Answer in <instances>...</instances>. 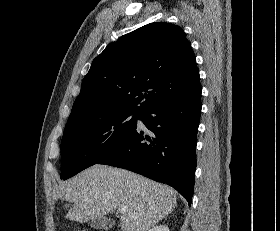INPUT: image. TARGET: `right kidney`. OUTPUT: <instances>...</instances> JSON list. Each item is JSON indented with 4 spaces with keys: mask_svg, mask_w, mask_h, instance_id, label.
I'll return each instance as SVG.
<instances>
[{
    "mask_svg": "<svg viewBox=\"0 0 280 231\" xmlns=\"http://www.w3.org/2000/svg\"><path fill=\"white\" fill-rule=\"evenodd\" d=\"M149 231H169L168 225H164V223H161V225H154L152 229H149Z\"/></svg>",
    "mask_w": 280,
    "mask_h": 231,
    "instance_id": "right-kidney-1",
    "label": "right kidney"
}]
</instances>
